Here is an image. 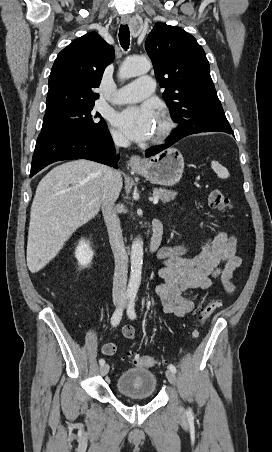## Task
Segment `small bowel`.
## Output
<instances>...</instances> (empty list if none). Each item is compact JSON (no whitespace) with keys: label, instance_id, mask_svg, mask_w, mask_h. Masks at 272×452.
Listing matches in <instances>:
<instances>
[{"label":"small bowel","instance_id":"obj_1","mask_svg":"<svg viewBox=\"0 0 272 452\" xmlns=\"http://www.w3.org/2000/svg\"><path fill=\"white\" fill-rule=\"evenodd\" d=\"M187 245L166 246L161 248L158 257L162 262L159 271L161 283L156 287V294L166 314L183 317L196 308L192 296L195 289H209L215 280H219L225 293L234 289L232 277L241 266L242 259L236 253V239L225 232H219L208 239L192 257H186ZM122 335L129 340L136 337L130 325L121 329ZM117 345L109 342L102 346L103 354L112 356L117 352Z\"/></svg>","mask_w":272,"mask_h":452}]
</instances>
